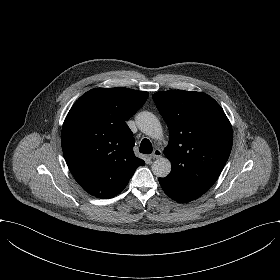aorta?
I'll use <instances>...</instances> for the list:
<instances>
[{"label":"aorta","instance_id":"762f6f07","mask_svg":"<svg viewBox=\"0 0 280 280\" xmlns=\"http://www.w3.org/2000/svg\"><path fill=\"white\" fill-rule=\"evenodd\" d=\"M138 128L145 135L160 139L162 136V126L159 119L151 112L142 111L135 117ZM152 172L155 176L164 178L171 172V163L168 159L160 157L152 164Z\"/></svg>","mask_w":280,"mask_h":280}]
</instances>
